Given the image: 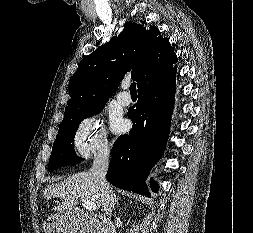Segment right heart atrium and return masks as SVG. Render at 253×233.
I'll return each mask as SVG.
<instances>
[{
	"label": "right heart atrium",
	"mask_w": 253,
	"mask_h": 233,
	"mask_svg": "<svg viewBox=\"0 0 253 233\" xmlns=\"http://www.w3.org/2000/svg\"><path fill=\"white\" fill-rule=\"evenodd\" d=\"M74 143L77 152L84 158L107 153L110 148L104 124L97 116L86 117L79 123Z\"/></svg>",
	"instance_id": "d8ad5b80"
}]
</instances>
